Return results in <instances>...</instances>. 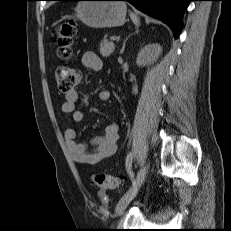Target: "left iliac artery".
<instances>
[{
  "instance_id": "obj_1",
  "label": "left iliac artery",
  "mask_w": 231,
  "mask_h": 231,
  "mask_svg": "<svg viewBox=\"0 0 231 231\" xmlns=\"http://www.w3.org/2000/svg\"><path fill=\"white\" fill-rule=\"evenodd\" d=\"M133 157H134L133 152H129L128 155H127V157H126V169H127L128 173L130 175V178L132 180H133V177H134V174H133V172L131 170Z\"/></svg>"
}]
</instances>
